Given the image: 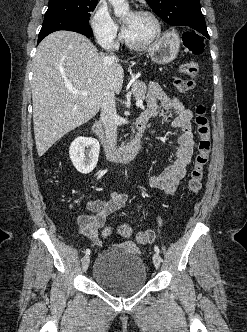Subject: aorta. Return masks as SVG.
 I'll use <instances>...</instances> for the list:
<instances>
[{"label": "aorta", "mask_w": 247, "mask_h": 332, "mask_svg": "<svg viewBox=\"0 0 247 332\" xmlns=\"http://www.w3.org/2000/svg\"><path fill=\"white\" fill-rule=\"evenodd\" d=\"M109 2L116 16L124 15L129 11V4L125 0H109Z\"/></svg>", "instance_id": "obj_1"}]
</instances>
